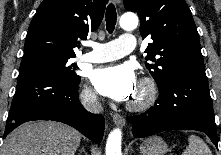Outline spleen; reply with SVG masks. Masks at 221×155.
<instances>
[{
    "mask_svg": "<svg viewBox=\"0 0 221 155\" xmlns=\"http://www.w3.org/2000/svg\"><path fill=\"white\" fill-rule=\"evenodd\" d=\"M188 143L182 155H212L208 145L200 137L189 135Z\"/></svg>",
    "mask_w": 221,
    "mask_h": 155,
    "instance_id": "1",
    "label": "spleen"
}]
</instances>
